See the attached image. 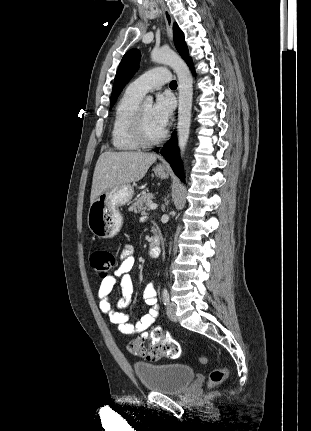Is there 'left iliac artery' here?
<instances>
[{"mask_svg":"<svg viewBox=\"0 0 311 431\" xmlns=\"http://www.w3.org/2000/svg\"><path fill=\"white\" fill-rule=\"evenodd\" d=\"M162 300L164 305H167L169 303V293L166 288L162 292Z\"/></svg>","mask_w":311,"mask_h":431,"instance_id":"obj_1","label":"left iliac artery"}]
</instances>
